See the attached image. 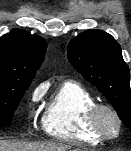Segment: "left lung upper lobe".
<instances>
[{"label": "left lung upper lobe", "instance_id": "obj_1", "mask_svg": "<svg viewBox=\"0 0 131 151\" xmlns=\"http://www.w3.org/2000/svg\"><path fill=\"white\" fill-rule=\"evenodd\" d=\"M68 59L109 100L131 130L130 72L114 38L102 30H86L68 44Z\"/></svg>", "mask_w": 131, "mask_h": 151}]
</instances>
